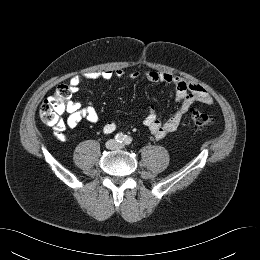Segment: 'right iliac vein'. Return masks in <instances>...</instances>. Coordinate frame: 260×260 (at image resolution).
I'll return each mask as SVG.
<instances>
[{"label": "right iliac vein", "instance_id": "63e3f726", "mask_svg": "<svg viewBox=\"0 0 260 260\" xmlns=\"http://www.w3.org/2000/svg\"><path fill=\"white\" fill-rule=\"evenodd\" d=\"M114 145H115V143H114L113 141H109V142L107 143V147H108V148H113Z\"/></svg>", "mask_w": 260, "mask_h": 260}]
</instances>
